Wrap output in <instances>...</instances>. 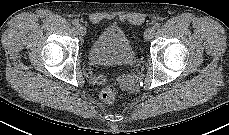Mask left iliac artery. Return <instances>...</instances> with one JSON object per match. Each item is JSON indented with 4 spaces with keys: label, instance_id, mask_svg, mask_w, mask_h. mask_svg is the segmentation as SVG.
<instances>
[{
    "label": "left iliac artery",
    "instance_id": "left-iliac-artery-1",
    "mask_svg": "<svg viewBox=\"0 0 229 135\" xmlns=\"http://www.w3.org/2000/svg\"><path fill=\"white\" fill-rule=\"evenodd\" d=\"M160 26H161V24H160V23H156V24L154 25V28H155V29H159V28H160Z\"/></svg>",
    "mask_w": 229,
    "mask_h": 135
}]
</instances>
